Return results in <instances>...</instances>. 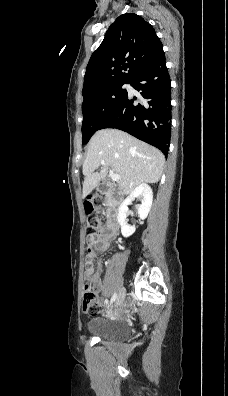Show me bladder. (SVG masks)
<instances>
[{
	"mask_svg": "<svg viewBox=\"0 0 228 396\" xmlns=\"http://www.w3.org/2000/svg\"><path fill=\"white\" fill-rule=\"evenodd\" d=\"M87 330L91 335L108 341H122L130 335L126 324L114 320L106 322L91 320L87 324Z\"/></svg>",
	"mask_w": 228,
	"mask_h": 396,
	"instance_id": "obj_1",
	"label": "bladder"
}]
</instances>
